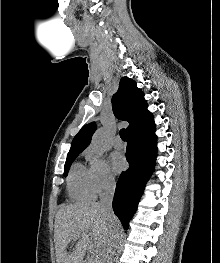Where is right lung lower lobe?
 <instances>
[{"label":"right lung lower lobe","instance_id":"98d812e1","mask_svg":"<svg viewBox=\"0 0 220 263\" xmlns=\"http://www.w3.org/2000/svg\"><path fill=\"white\" fill-rule=\"evenodd\" d=\"M156 158L155 126L127 136L126 159L129 168L122 172L116 185L113 210L124 229L136 211Z\"/></svg>","mask_w":220,"mask_h":263}]
</instances>
